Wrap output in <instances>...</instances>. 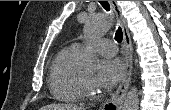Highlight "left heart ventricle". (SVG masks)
I'll return each instance as SVG.
<instances>
[{
  "instance_id": "left-heart-ventricle-1",
  "label": "left heart ventricle",
  "mask_w": 171,
  "mask_h": 110,
  "mask_svg": "<svg viewBox=\"0 0 171 110\" xmlns=\"http://www.w3.org/2000/svg\"><path fill=\"white\" fill-rule=\"evenodd\" d=\"M80 76L87 84H89L90 86L94 88V85H93L94 74L93 73H80Z\"/></svg>"
}]
</instances>
